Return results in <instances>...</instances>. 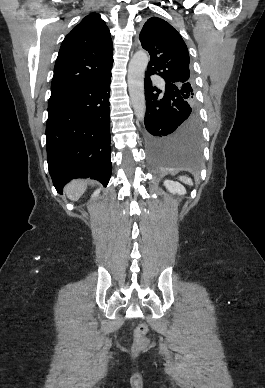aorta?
Here are the masks:
<instances>
[{"label": "aorta", "mask_w": 265, "mask_h": 388, "mask_svg": "<svg viewBox=\"0 0 265 388\" xmlns=\"http://www.w3.org/2000/svg\"><path fill=\"white\" fill-rule=\"evenodd\" d=\"M149 62V56L144 51H138L132 57L128 66V89L135 115L140 121L146 113L144 94V73Z\"/></svg>", "instance_id": "762f6f07"}]
</instances>
